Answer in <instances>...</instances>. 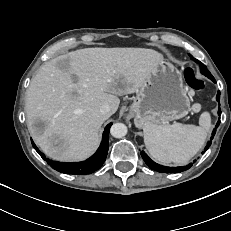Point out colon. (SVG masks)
I'll return each mask as SVG.
<instances>
[{
  "label": "colon",
  "mask_w": 231,
  "mask_h": 231,
  "mask_svg": "<svg viewBox=\"0 0 231 231\" xmlns=\"http://www.w3.org/2000/svg\"><path fill=\"white\" fill-rule=\"evenodd\" d=\"M184 79L187 85L194 90H201L204 88V81L198 79L192 68H187L184 72Z\"/></svg>",
  "instance_id": "colon-1"
}]
</instances>
